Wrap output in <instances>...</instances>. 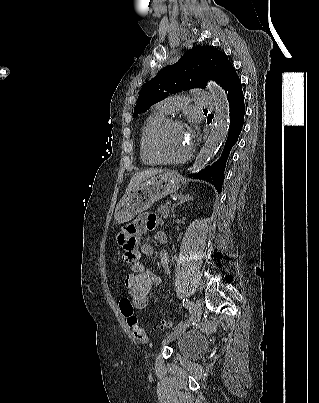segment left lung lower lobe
Segmentation results:
<instances>
[{
    "label": "left lung lower lobe",
    "instance_id": "left-lung-lower-lobe-1",
    "mask_svg": "<svg viewBox=\"0 0 319 403\" xmlns=\"http://www.w3.org/2000/svg\"><path fill=\"white\" fill-rule=\"evenodd\" d=\"M220 86L225 90L229 101L230 127L228 137L221 157L212 166H207L194 176L196 179L205 180L215 186L218 192L222 191L224 181L225 164L232 146L237 142L243 127L245 106L240 79L233 65H230L222 76Z\"/></svg>",
    "mask_w": 319,
    "mask_h": 403
}]
</instances>
